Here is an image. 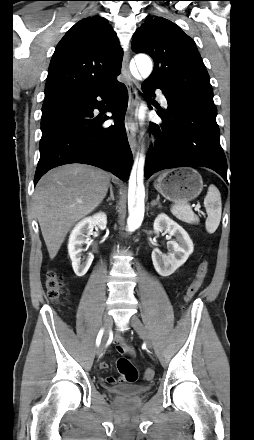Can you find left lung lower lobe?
Instances as JSON below:
<instances>
[{"label": "left lung lower lobe", "instance_id": "obj_1", "mask_svg": "<svg viewBox=\"0 0 254 440\" xmlns=\"http://www.w3.org/2000/svg\"><path fill=\"white\" fill-rule=\"evenodd\" d=\"M156 88L161 89L149 82L142 85L143 92L149 96L154 95ZM166 99L168 109H158L163 123H153L150 128L158 138L155 149L147 153L145 177L163 169L200 166L216 171L227 182V162L220 145L217 111L189 100Z\"/></svg>", "mask_w": 254, "mask_h": 440}]
</instances>
